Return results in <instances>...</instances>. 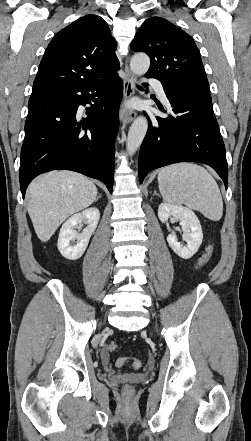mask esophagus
<instances>
[{
  "label": "esophagus",
  "instance_id": "1",
  "mask_svg": "<svg viewBox=\"0 0 251 441\" xmlns=\"http://www.w3.org/2000/svg\"><path fill=\"white\" fill-rule=\"evenodd\" d=\"M135 81H136V75L131 72L128 65L126 64L125 65L124 92H123L124 102L127 101L128 99H130L134 95ZM136 115H137V113L135 110L127 111L125 109L124 105L122 106V108L120 110V120L122 122H125V121L131 122L132 120L135 119Z\"/></svg>",
  "mask_w": 251,
  "mask_h": 441
}]
</instances>
